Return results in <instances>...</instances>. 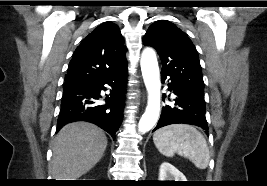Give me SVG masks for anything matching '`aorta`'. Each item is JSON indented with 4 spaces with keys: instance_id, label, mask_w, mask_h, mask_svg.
<instances>
[{
    "instance_id": "762f6f07",
    "label": "aorta",
    "mask_w": 267,
    "mask_h": 186,
    "mask_svg": "<svg viewBox=\"0 0 267 186\" xmlns=\"http://www.w3.org/2000/svg\"><path fill=\"white\" fill-rule=\"evenodd\" d=\"M141 71L148 91V103L142 115L138 129L140 132L150 131L159 118L160 113V72L155 52L146 48L141 56Z\"/></svg>"
}]
</instances>
